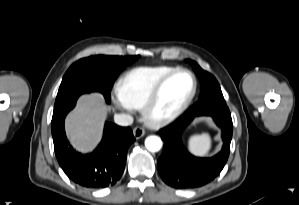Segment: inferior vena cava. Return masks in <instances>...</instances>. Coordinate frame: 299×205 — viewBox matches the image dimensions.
I'll list each match as a JSON object with an SVG mask.
<instances>
[{"label":"inferior vena cava","instance_id":"inferior-vena-cava-1","mask_svg":"<svg viewBox=\"0 0 299 205\" xmlns=\"http://www.w3.org/2000/svg\"><path fill=\"white\" fill-rule=\"evenodd\" d=\"M114 121L120 126H130L133 123V117L130 114H116Z\"/></svg>","mask_w":299,"mask_h":205}]
</instances>
